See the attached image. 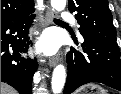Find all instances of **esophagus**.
<instances>
[{"mask_svg": "<svg viewBox=\"0 0 121 94\" xmlns=\"http://www.w3.org/2000/svg\"><path fill=\"white\" fill-rule=\"evenodd\" d=\"M54 12L51 8H48L45 15V26H48L52 23L54 18ZM61 60L60 54H57L49 59V65L55 66Z\"/></svg>", "mask_w": 121, "mask_h": 94, "instance_id": "obj_1", "label": "esophagus"}]
</instances>
